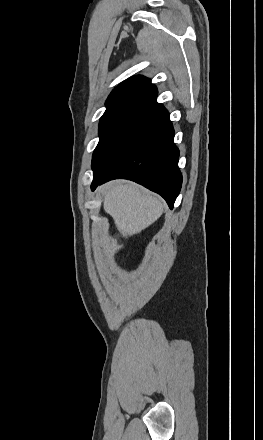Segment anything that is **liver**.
<instances>
[{"mask_svg": "<svg viewBox=\"0 0 263 440\" xmlns=\"http://www.w3.org/2000/svg\"><path fill=\"white\" fill-rule=\"evenodd\" d=\"M102 192L104 210L125 238L140 233L162 215V202L136 184L111 182L103 186ZM121 248L116 239H109L106 251L114 253Z\"/></svg>", "mask_w": 263, "mask_h": 440, "instance_id": "liver-1", "label": "liver"}]
</instances>
